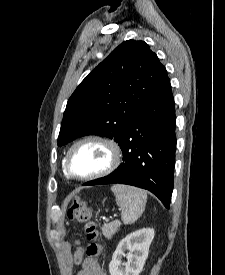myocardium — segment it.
Returning <instances> with one entry per match:
<instances>
[{"label":"myocardium","mask_w":225,"mask_h":275,"mask_svg":"<svg viewBox=\"0 0 225 275\" xmlns=\"http://www.w3.org/2000/svg\"><path fill=\"white\" fill-rule=\"evenodd\" d=\"M85 143H97V144L104 146L108 150L109 161L105 168H103L97 172L87 174V175H76L72 172V170L70 168V158H71L73 151L78 146L85 144ZM121 157H122L121 149L115 141L105 138V137L97 136V135H89V136H86V137H83V138L77 140L69 148V150L67 151V154L65 156V159H64V164H63L64 171L69 177L74 178V179H79V180L97 179V178H100V177H103V176H106V175L112 173L119 166V164L121 162Z\"/></svg>","instance_id":"f54148a6"}]
</instances>
